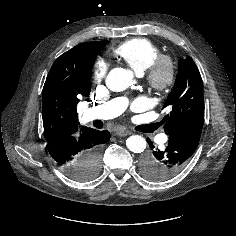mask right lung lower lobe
Segmentation results:
<instances>
[{"instance_id": "obj_1", "label": "right lung lower lobe", "mask_w": 236, "mask_h": 236, "mask_svg": "<svg viewBox=\"0 0 236 236\" xmlns=\"http://www.w3.org/2000/svg\"><path fill=\"white\" fill-rule=\"evenodd\" d=\"M110 139L107 130L87 129L80 136L59 139L47 143V150L55 162L71 178L77 179L82 165L91 153L99 155L102 144ZM75 175V177H73Z\"/></svg>"}]
</instances>
